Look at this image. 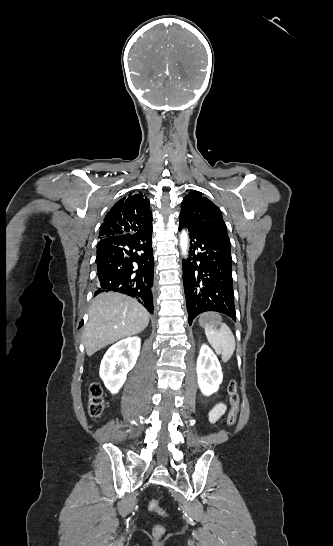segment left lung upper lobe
I'll use <instances>...</instances> for the list:
<instances>
[{
    "instance_id": "5c2ea615",
    "label": "left lung upper lobe",
    "mask_w": 333,
    "mask_h": 546,
    "mask_svg": "<svg viewBox=\"0 0 333 546\" xmlns=\"http://www.w3.org/2000/svg\"><path fill=\"white\" fill-rule=\"evenodd\" d=\"M179 218L191 226L227 234L221 210L200 192L191 191L185 196Z\"/></svg>"
}]
</instances>
